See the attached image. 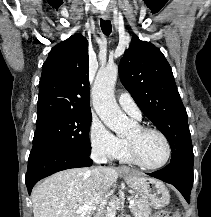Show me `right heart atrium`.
Returning a JSON list of instances; mask_svg holds the SVG:
<instances>
[{"instance_id": "right-heart-atrium-1", "label": "right heart atrium", "mask_w": 211, "mask_h": 217, "mask_svg": "<svg viewBox=\"0 0 211 217\" xmlns=\"http://www.w3.org/2000/svg\"><path fill=\"white\" fill-rule=\"evenodd\" d=\"M90 143L93 151L109 159L119 158L126 146L123 139L96 120L90 126Z\"/></svg>"}]
</instances>
